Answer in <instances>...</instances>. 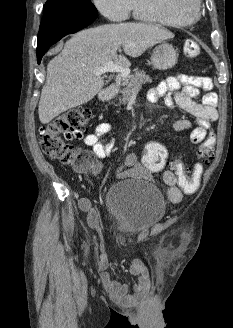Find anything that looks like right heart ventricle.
Segmentation results:
<instances>
[{
    "mask_svg": "<svg viewBox=\"0 0 233 328\" xmlns=\"http://www.w3.org/2000/svg\"><path fill=\"white\" fill-rule=\"evenodd\" d=\"M131 12L133 17L140 21L177 28L187 26L170 13L160 9L153 0H132Z\"/></svg>",
    "mask_w": 233,
    "mask_h": 328,
    "instance_id": "obj_1",
    "label": "right heart ventricle"
}]
</instances>
